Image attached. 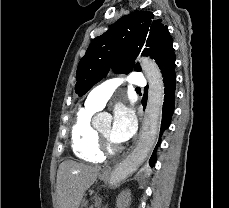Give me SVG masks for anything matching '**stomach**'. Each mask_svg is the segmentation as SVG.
Returning <instances> with one entry per match:
<instances>
[{
  "instance_id": "stomach-1",
  "label": "stomach",
  "mask_w": 229,
  "mask_h": 208,
  "mask_svg": "<svg viewBox=\"0 0 229 208\" xmlns=\"http://www.w3.org/2000/svg\"><path fill=\"white\" fill-rule=\"evenodd\" d=\"M109 174H110V170H108V172H101V174H99V180H103V182H106V180H108L109 178Z\"/></svg>"
}]
</instances>
